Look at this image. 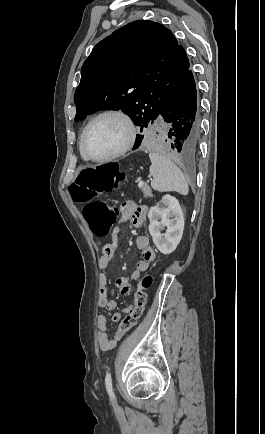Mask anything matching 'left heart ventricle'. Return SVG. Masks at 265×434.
<instances>
[{"instance_id":"1","label":"left heart ventricle","mask_w":265,"mask_h":434,"mask_svg":"<svg viewBox=\"0 0 265 434\" xmlns=\"http://www.w3.org/2000/svg\"><path fill=\"white\" fill-rule=\"evenodd\" d=\"M127 138L125 122L116 116L97 121L90 129L84 143L85 152L93 158H104L119 150Z\"/></svg>"}]
</instances>
